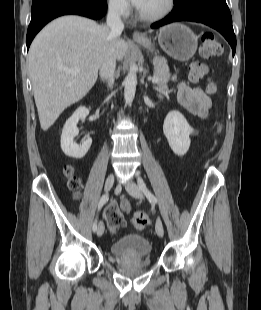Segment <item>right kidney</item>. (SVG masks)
Segmentation results:
<instances>
[{
	"instance_id": "ca27d5eb",
	"label": "right kidney",
	"mask_w": 261,
	"mask_h": 310,
	"mask_svg": "<svg viewBox=\"0 0 261 310\" xmlns=\"http://www.w3.org/2000/svg\"><path fill=\"white\" fill-rule=\"evenodd\" d=\"M89 109L79 107L72 116L66 121L61 135V149L65 155L80 159L83 158L91 147L92 139H86L82 144L77 145L73 139L78 135L79 130L77 124L80 119L85 118L89 114Z\"/></svg>"
}]
</instances>
